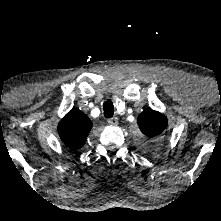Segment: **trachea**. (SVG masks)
Listing matches in <instances>:
<instances>
[{
  "label": "trachea",
  "mask_w": 221,
  "mask_h": 221,
  "mask_svg": "<svg viewBox=\"0 0 221 221\" xmlns=\"http://www.w3.org/2000/svg\"><path fill=\"white\" fill-rule=\"evenodd\" d=\"M103 109H104V116L106 118H111L114 114V105L113 102L111 100H106L103 103Z\"/></svg>",
  "instance_id": "obj_1"
}]
</instances>
